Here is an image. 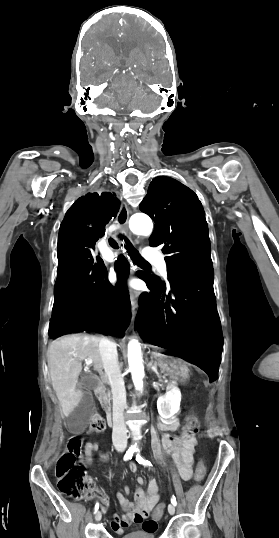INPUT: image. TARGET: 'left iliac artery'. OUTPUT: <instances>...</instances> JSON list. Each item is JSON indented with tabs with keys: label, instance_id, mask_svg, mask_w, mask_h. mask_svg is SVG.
Segmentation results:
<instances>
[{
	"label": "left iliac artery",
	"instance_id": "1",
	"mask_svg": "<svg viewBox=\"0 0 279 538\" xmlns=\"http://www.w3.org/2000/svg\"><path fill=\"white\" fill-rule=\"evenodd\" d=\"M136 460L138 461V463L144 465V466H152L151 463L146 460L145 458H143L139 453H137V456H136ZM171 503L176 506L177 505V501H176V498L173 496L171 498Z\"/></svg>",
	"mask_w": 279,
	"mask_h": 538
}]
</instances>
